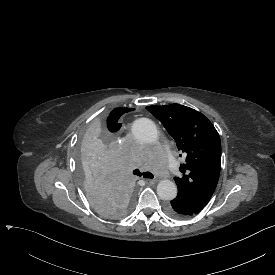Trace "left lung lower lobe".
Masks as SVG:
<instances>
[{
	"label": "left lung lower lobe",
	"mask_w": 275,
	"mask_h": 275,
	"mask_svg": "<svg viewBox=\"0 0 275 275\" xmlns=\"http://www.w3.org/2000/svg\"><path fill=\"white\" fill-rule=\"evenodd\" d=\"M203 208L188 200L175 198L171 201V205L167 206V213L173 218L183 219L198 214Z\"/></svg>",
	"instance_id": "0a47b994"
}]
</instances>
